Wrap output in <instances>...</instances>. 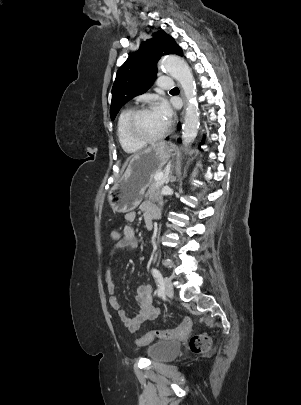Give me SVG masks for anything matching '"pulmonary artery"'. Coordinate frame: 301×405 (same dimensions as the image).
Listing matches in <instances>:
<instances>
[{
    "label": "pulmonary artery",
    "mask_w": 301,
    "mask_h": 405,
    "mask_svg": "<svg viewBox=\"0 0 301 405\" xmlns=\"http://www.w3.org/2000/svg\"><path fill=\"white\" fill-rule=\"evenodd\" d=\"M157 84L162 89L170 90L173 88V81L169 76H160L158 78Z\"/></svg>",
    "instance_id": "obj_1"
}]
</instances>
